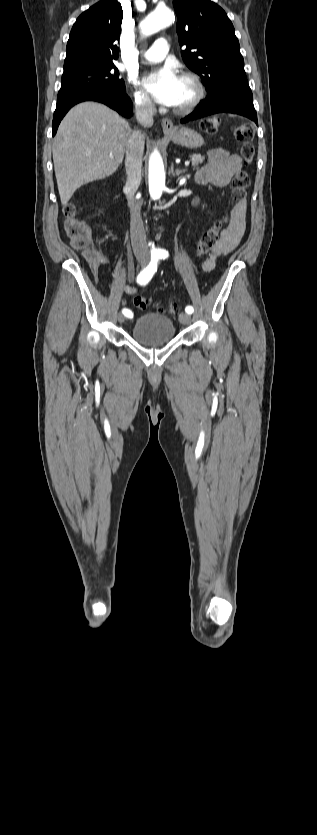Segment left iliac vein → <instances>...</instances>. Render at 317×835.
Instances as JSON below:
<instances>
[{
	"label": "left iliac vein",
	"mask_w": 317,
	"mask_h": 835,
	"mask_svg": "<svg viewBox=\"0 0 317 835\" xmlns=\"http://www.w3.org/2000/svg\"><path fill=\"white\" fill-rule=\"evenodd\" d=\"M179 321L183 325H189L191 323V316L188 313H181L179 315Z\"/></svg>",
	"instance_id": "left-iliac-vein-1"
}]
</instances>
